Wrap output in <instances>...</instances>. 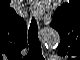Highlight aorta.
Instances as JSON below:
<instances>
[{
  "label": "aorta",
  "mask_w": 80,
  "mask_h": 60,
  "mask_svg": "<svg viewBox=\"0 0 80 60\" xmlns=\"http://www.w3.org/2000/svg\"><path fill=\"white\" fill-rule=\"evenodd\" d=\"M47 36H48V37L52 36V37L55 39L56 42L59 41V37H58L57 34H48Z\"/></svg>",
  "instance_id": "obj_1"
}]
</instances>
